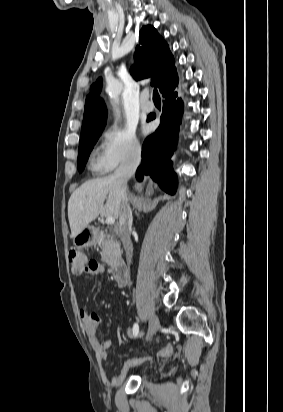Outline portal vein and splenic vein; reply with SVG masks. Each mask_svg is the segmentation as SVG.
I'll return each instance as SVG.
<instances>
[{"label":"portal vein and splenic vein","instance_id":"1","mask_svg":"<svg viewBox=\"0 0 283 412\" xmlns=\"http://www.w3.org/2000/svg\"><path fill=\"white\" fill-rule=\"evenodd\" d=\"M115 223V218L114 217H107L106 218V224L107 225H112Z\"/></svg>","mask_w":283,"mask_h":412}]
</instances>
